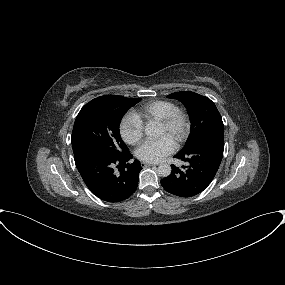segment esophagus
I'll use <instances>...</instances> for the list:
<instances>
[{"label": "esophagus", "mask_w": 285, "mask_h": 285, "mask_svg": "<svg viewBox=\"0 0 285 285\" xmlns=\"http://www.w3.org/2000/svg\"><path fill=\"white\" fill-rule=\"evenodd\" d=\"M141 165H142L143 168H145V167L154 166V165H156V164L142 162Z\"/></svg>", "instance_id": "1"}]
</instances>
